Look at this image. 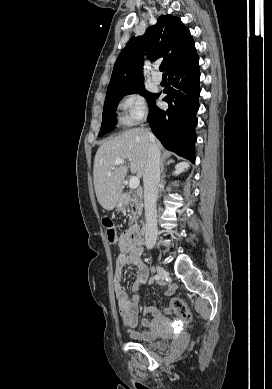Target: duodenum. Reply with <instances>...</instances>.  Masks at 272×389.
Masks as SVG:
<instances>
[{"mask_svg": "<svg viewBox=\"0 0 272 389\" xmlns=\"http://www.w3.org/2000/svg\"><path fill=\"white\" fill-rule=\"evenodd\" d=\"M130 201V194H123L120 202L121 204H127ZM129 239L135 246H141L143 244V236L141 232V226L137 225L128 231Z\"/></svg>", "mask_w": 272, "mask_h": 389, "instance_id": "duodenum-1", "label": "duodenum"}]
</instances>
